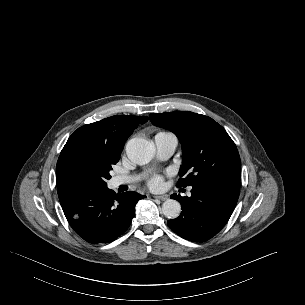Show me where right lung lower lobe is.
<instances>
[{
  "label": "right lung lower lobe",
  "instance_id": "obj_1",
  "mask_svg": "<svg viewBox=\"0 0 305 305\" xmlns=\"http://www.w3.org/2000/svg\"><path fill=\"white\" fill-rule=\"evenodd\" d=\"M59 200L71 227L85 241L109 243L123 234L135 215L136 203L145 196L120 195L105 188H58Z\"/></svg>",
  "mask_w": 305,
  "mask_h": 305
}]
</instances>
